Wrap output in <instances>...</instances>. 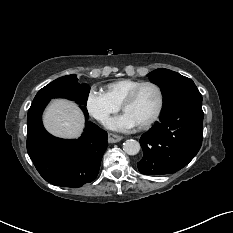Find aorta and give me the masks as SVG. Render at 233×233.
<instances>
[{
    "label": "aorta",
    "instance_id": "1",
    "mask_svg": "<svg viewBox=\"0 0 233 233\" xmlns=\"http://www.w3.org/2000/svg\"><path fill=\"white\" fill-rule=\"evenodd\" d=\"M140 144L134 139L126 140L123 143V150L128 155H136L140 151Z\"/></svg>",
    "mask_w": 233,
    "mask_h": 233
}]
</instances>
